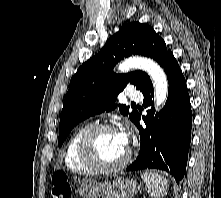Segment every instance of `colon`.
I'll list each match as a JSON object with an SVG mask.
<instances>
[{
	"label": "colon",
	"mask_w": 221,
	"mask_h": 198,
	"mask_svg": "<svg viewBox=\"0 0 221 198\" xmlns=\"http://www.w3.org/2000/svg\"><path fill=\"white\" fill-rule=\"evenodd\" d=\"M52 198H71L72 189L63 172H57L52 177Z\"/></svg>",
	"instance_id": "colon-1"
}]
</instances>
